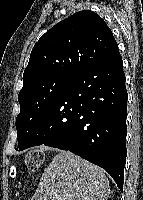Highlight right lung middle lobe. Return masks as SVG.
I'll return each instance as SVG.
<instances>
[{
  "mask_svg": "<svg viewBox=\"0 0 143 200\" xmlns=\"http://www.w3.org/2000/svg\"><path fill=\"white\" fill-rule=\"evenodd\" d=\"M70 79V76L54 75L22 87L18 95L20 113L16 118L17 150H23L35 125L58 98Z\"/></svg>",
  "mask_w": 143,
  "mask_h": 200,
  "instance_id": "obj_1",
  "label": "right lung middle lobe"
}]
</instances>
